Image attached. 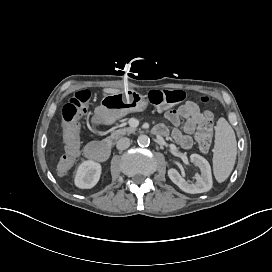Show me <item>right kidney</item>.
Returning a JSON list of instances; mask_svg holds the SVG:
<instances>
[{
	"label": "right kidney",
	"mask_w": 272,
	"mask_h": 272,
	"mask_svg": "<svg viewBox=\"0 0 272 272\" xmlns=\"http://www.w3.org/2000/svg\"><path fill=\"white\" fill-rule=\"evenodd\" d=\"M101 165L92 160L81 163L75 176V185L78 188L90 189L94 187L100 179Z\"/></svg>",
	"instance_id": "ca27d5eb"
}]
</instances>
